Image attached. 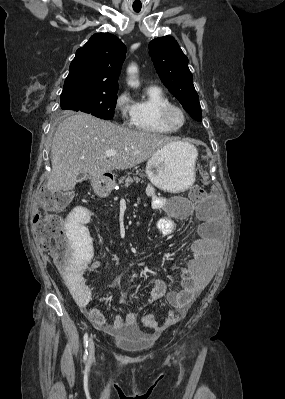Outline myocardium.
<instances>
[{
    "mask_svg": "<svg viewBox=\"0 0 285 399\" xmlns=\"http://www.w3.org/2000/svg\"><path fill=\"white\" fill-rule=\"evenodd\" d=\"M174 112H177L180 114L182 121L181 123H175L172 119V115ZM160 120L163 125L166 127L172 129V130H178L180 129L186 122V114L184 110L173 103L166 104L160 109Z\"/></svg>",
    "mask_w": 285,
    "mask_h": 399,
    "instance_id": "f54148a6",
    "label": "myocardium"
}]
</instances>
